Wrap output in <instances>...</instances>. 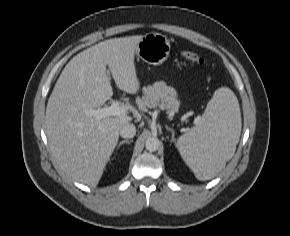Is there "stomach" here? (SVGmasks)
I'll return each instance as SVG.
<instances>
[{"label": "stomach", "instance_id": "stomach-1", "mask_svg": "<svg viewBox=\"0 0 290 236\" xmlns=\"http://www.w3.org/2000/svg\"><path fill=\"white\" fill-rule=\"evenodd\" d=\"M169 53L170 42L166 36L148 33L138 43L136 56L148 64L160 65L167 60Z\"/></svg>", "mask_w": 290, "mask_h": 236}]
</instances>
